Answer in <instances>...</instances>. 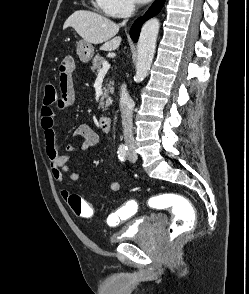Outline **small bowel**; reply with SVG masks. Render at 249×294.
Returning <instances> with one entry per match:
<instances>
[{
  "label": "small bowel",
  "instance_id": "1",
  "mask_svg": "<svg viewBox=\"0 0 249 294\" xmlns=\"http://www.w3.org/2000/svg\"><path fill=\"white\" fill-rule=\"evenodd\" d=\"M68 58L71 59V69L65 76L60 74L61 97L59 101L55 103V106L44 104L39 114L40 127L45 137L46 155L50 163V173L54 181L59 184L64 182V175H67L68 179L72 182L80 178V174L72 171L68 165L73 154L94 149L100 144L98 135L87 124H79L72 130L70 136L81 138V144L68 143L64 148L60 146L55 130L56 110H64L71 107L75 100V90L71 77L73 59L71 57ZM109 189L113 192H118L121 186L118 182L112 181L109 183ZM60 194L65 201L70 196V192L65 188L61 189ZM120 212L121 209L108 217L107 224L110 227L117 226L124 220L119 216Z\"/></svg>",
  "mask_w": 249,
  "mask_h": 294
}]
</instances>
